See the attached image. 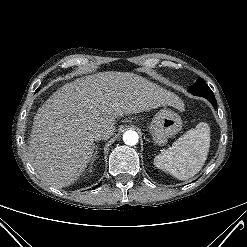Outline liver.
Masks as SVG:
<instances>
[{
    "instance_id": "liver-1",
    "label": "liver",
    "mask_w": 247,
    "mask_h": 247,
    "mask_svg": "<svg viewBox=\"0 0 247 247\" xmlns=\"http://www.w3.org/2000/svg\"><path fill=\"white\" fill-rule=\"evenodd\" d=\"M166 105L183 106L176 94L133 73L109 71L78 78L38 109L28 147L30 162L50 186H70L92 158L93 131L103 130L109 139L117 117Z\"/></svg>"
}]
</instances>
